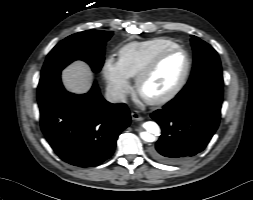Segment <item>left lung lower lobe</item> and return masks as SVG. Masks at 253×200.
<instances>
[{"label": "left lung lower lobe", "instance_id": "left-lung-lower-lobe-1", "mask_svg": "<svg viewBox=\"0 0 253 200\" xmlns=\"http://www.w3.org/2000/svg\"><path fill=\"white\" fill-rule=\"evenodd\" d=\"M223 86L203 85L184 97L176 96L151 117L162 134L151 155L162 162L177 164L201 152L218 128Z\"/></svg>", "mask_w": 253, "mask_h": 200}]
</instances>
